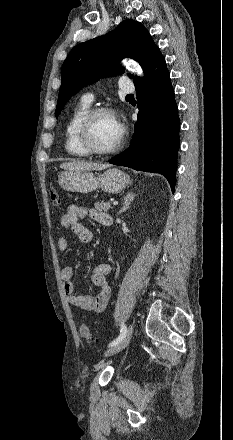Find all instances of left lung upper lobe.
<instances>
[{"instance_id":"1","label":"left lung upper lobe","mask_w":233,"mask_h":440,"mask_svg":"<svg viewBox=\"0 0 233 440\" xmlns=\"http://www.w3.org/2000/svg\"><path fill=\"white\" fill-rule=\"evenodd\" d=\"M159 52L144 26L131 19L124 20L104 36L76 45L62 65L56 117L66 102L86 84L102 76L122 74L124 69L118 65L122 58L130 57L138 61L146 73ZM129 77L133 82L140 79L132 74Z\"/></svg>"}]
</instances>
